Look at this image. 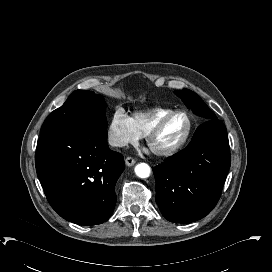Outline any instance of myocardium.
<instances>
[{"instance_id": "obj_1", "label": "myocardium", "mask_w": 272, "mask_h": 272, "mask_svg": "<svg viewBox=\"0 0 272 272\" xmlns=\"http://www.w3.org/2000/svg\"><path fill=\"white\" fill-rule=\"evenodd\" d=\"M178 115H182L186 118L187 120V130L186 133L183 137V139L175 146L168 148V149H163V150H155L151 148V141L152 139L158 135L161 130L164 128V126L166 125V123L173 117L178 116ZM192 130H193V122L192 119L190 117V115L182 110H176V111H172L164 116H162L161 118L158 119V121H156L145 133L146 136V141L147 144L149 145V147L152 149V151L158 155V156H171L175 153H177L179 150H181L186 143L188 142L191 134H192Z\"/></svg>"}]
</instances>
